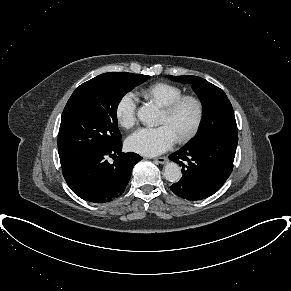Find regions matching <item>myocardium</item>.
<instances>
[{
    "label": "myocardium",
    "mask_w": 291,
    "mask_h": 291,
    "mask_svg": "<svg viewBox=\"0 0 291 291\" xmlns=\"http://www.w3.org/2000/svg\"><path fill=\"white\" fill-rule=\"evenodd\" d=\"M186 102H191L194 104L196 109V116L191 128L184 135L177 138L178 143H186L198 133L204 119L205 113L204 104L198 96L182 95L179 98L172 101L171 103H169L168 105H166L165 107H163V112L168 116H172Z\"/></svg>",
    "instance_id": "1"
}]
</instances>
